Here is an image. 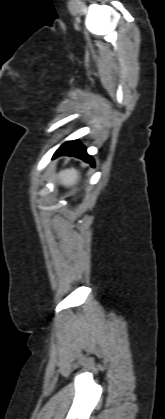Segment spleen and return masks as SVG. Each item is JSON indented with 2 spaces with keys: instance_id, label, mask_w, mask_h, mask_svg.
Instances as JSON below:
<instances>
[{
  "instance_id": "spleen-1",
  "label": "spleen",
  "mask_w": 165,
  "mask_h": 419,
  "mask_svg": "<svg viewBox=\"0 0 165 419\" xmlns=\"http://www.w3.org/2000/svg\"><path fill=\"white\" fill-rule=\"evenodd\" d=\"M79 178V172L74 168L66 169L59 174V179L64 186L76 184Z\"/></svg>"
}]
</instances>
